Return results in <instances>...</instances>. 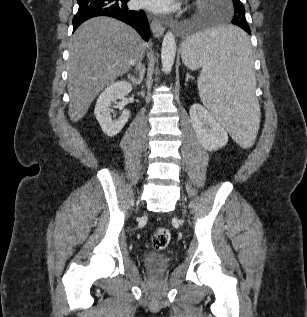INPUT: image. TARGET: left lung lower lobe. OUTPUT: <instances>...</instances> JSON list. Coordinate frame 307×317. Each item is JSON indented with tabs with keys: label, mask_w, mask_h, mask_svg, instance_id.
<instances>
[{
	"label": "left lung lower lobe",
	"mask_w": 307,
	"mask_h": 317,
	"mask_svg": "<svg viewBox=\"0 0 307 317\" xmlns=\"http://www.w3.org/2000/svg\"><path fill=\"white\" fill-rule=\"evenodd\" d=\"M233 23V22H232ZM239 27H241L244 31H246L248 34H251L250 28L248 25H242L240 22L233 23ZM224 43L232 50L238 51L246 46L248 43V38L245 33L236 35V36H227L224 39Z\"/></svg>",
	"instance_id": "0a47b994"
}]
</instances>
